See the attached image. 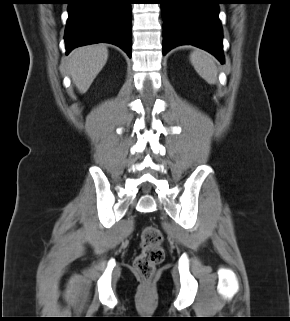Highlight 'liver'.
Here are the masks:
<instances>
[{
  "instance_id": "6515ba94",
  "label": "liver",
  "mask_w": 290,
  "mask_h": 321,
  "mask_svg": "<svg viewBox=\"0 0 290 321\" xmlns=\"http://www.w3.org/2000/svg\"><path fill=\"white\" fill-rule=\"evenodd\" d=\"M108 59L103 44L87 45L74 49L66 58V68L78 91L85 93Z\"/></svg>"
}]
</instances>
